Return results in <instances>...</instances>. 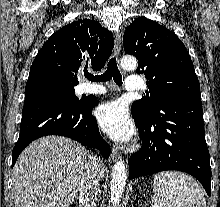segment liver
Masks as SVG:
<instances>
[{"mask_svg":"<svg viewBox=\"0 0 220 207\" xmlns=\"http://www.w3.org/2000/svg\"><path fill=\"white\" fill-rule=\"evenodd\" d=\"M93 156L79 143L46 136L29 144L13 168L15 207H69ZM106 168L101 167L100 177Z\"/></svg>","mask_w":220,"mask_h":207,"instance_id":"1","label":"liver"}]
</instances>
